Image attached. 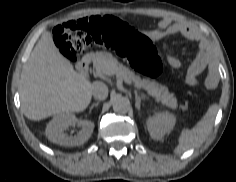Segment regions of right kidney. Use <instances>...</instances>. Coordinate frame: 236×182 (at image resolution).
<instances>
[{"label": "right kidney", "mask_w": 236, "mask_h": 182, "mask_svg": "<svg viewBox=\"0 0 236 182\" xmlns=\"http://www.w3.org/2000/svg\"><path fill=\"white\" fill-rule=\"evenodd\" d=\"M77 125L80 131L72 135L64 133L70 126ZM94 130V123L88 120H77L74 114L65 113L55 116L46 127V137L61 146L73 147L83 145L89 140Z\"/></svg>", "instance_id": "ca27d5eb"}]
</instances>
